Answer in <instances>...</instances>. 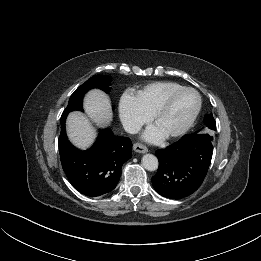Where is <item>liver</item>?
<instances>
[{"label": "liver", "mask_w": 261, "mask_h": 261, "mask_svg": "<svg viewBox=\"0 0 261 261\" xmlns=\"http://www.w3.org/2000/svg\"><path fill=\"white\" fill-rule=\"evenodd\" d=\"M84 109L98 125L106 126L112 120L111 104L108 96L98 89L89 91L84 97ZM69 140L78 148L86 149L96 137V131L89 120L80 112L69 114L66 122Z\"/></svg>", "instance_id": "liver-1"}]
</instances>
